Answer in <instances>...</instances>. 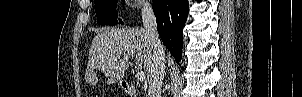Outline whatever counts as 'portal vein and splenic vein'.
<instances>
[{
	"mask_svg": "<svg viewBox=\"0 0 302 97\" xmlns=\"http://www.w3.org/2000/svg\"><path fill=\"white\" fill-rule=\"evenodd\" d=\"M123 59H129V58L126 57V56H123ZM136 77H137L138 81H143V80H145L146 76H145V73L143 71H138L136 73Z\"/></svg>",
	"mask_w": 302,
	"mask_h": 97,
	"instance_id": "18ae733b",
	"label": "portal vein and splenic vein"
}]
</instances>
